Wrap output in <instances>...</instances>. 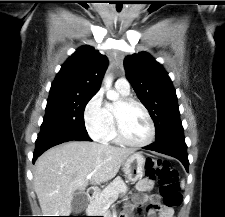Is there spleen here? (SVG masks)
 I'll use <instances>...</instances> for the list:
<instances>
[{"instance_id":"spleen-1","label":"spleen","mask_w":225,"mask_h":217,"mask_svg":"<svg viewBox=\"0 0 225 217\" xmlns=\"http://www.w3.org/2000/svg\"><path fill=\"white\" fill-rule=\"evenodd\" d=\"M182 186H184V181H182Z\"/></svg>"}]
</instances>
